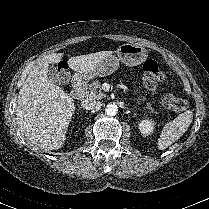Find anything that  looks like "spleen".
Returning <instances> with one entry per match:
<instances>
[{"label": "spleen", "instance_id": "obj_1", "mask_svg": "<svg viewBox=\"0 0 209 209\" xmlns=\"http://www.w3.org/2000/svg\"><path fill=\"white\" fill-rule=\"evenodd\" d=\"M192 121L193 112L187 110L177 116L173 121L166 123L158 139V149L165 150L177 141L186 132Z\"/></svg>", "mask_w": 209, "mask_h": 209}]
</instances>
